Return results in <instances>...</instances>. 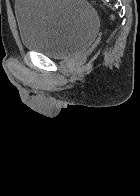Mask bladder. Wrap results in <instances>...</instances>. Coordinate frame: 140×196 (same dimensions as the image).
I'll return each instance as SVG.
<instances>
[{
  "mask_svg": "<svg viewBox=\"0 0 140 196\" xmlns=\"http://www.w3.org/2000/svg\"><path fill=\"white\" fill-rule=\"evenodd\" d=\"M14 13L24 50L67 59L87 50L99 31L85 0H15Z\"/></svg>",
  "mask_w": 140,
  "mask_h": 196,
  "instance_id": "31cf9c89",
  "label": "bladder"
}]
</instances>
